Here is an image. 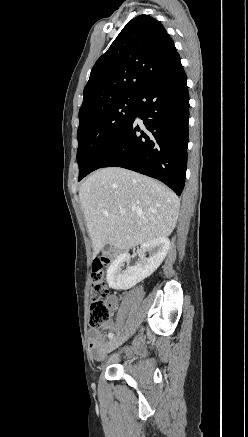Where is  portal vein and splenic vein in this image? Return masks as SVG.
Wrapping results in <instances>:
<instances>
[{
    "label": "portal vein and splenic vein",
    "mask_w": 248,
    "mask_h": 437,
    "mask_svg": "<svg viewBox=\"0 0 248 437\" xmlns=\"http://www.w3.org/2000/svg\"><path fill=\"white\" fill-rule=\"evenodd\" d=\"M120 214H125V210H120Z\"/></svg>",
    "instance_id": "portal-vein-and-splenic-vein-1"
}]
</instances>
